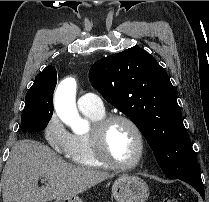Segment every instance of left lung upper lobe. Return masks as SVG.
<instances>
[{
	"label": "left lung upper lobe",
	"instance_id": "1",
	"mask_svg": "<svg viewBox=\"0 0 209 202\" xmlns=\"http://www.w3.org/2000/svg\"><path fill=\"white\" fill-rule=\"evenodd\" d=\"M89 80L135 123L168 178L199 169L175 89L151 54L133 47L109 55L91 67Z\"/></svg>",
	"mask_w": 209,
	"mask_h": 202
}]
</instances>
